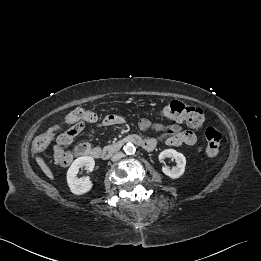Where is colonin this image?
I'll return each mask as SVG.
<instances>
[{
  "label": "colon",
  "instance_id": "1",
  "mask_svg": "<svg viewBox=\"0 0 261 261\" xmlns=\"http://www.w3.org/2000/svg\"><path fill=\"white\" fill-rule=\"evenodd\" d=\"M159 115L168 119L183 121L193 128H201L205 123L202 109L180 101L169 102L159 110ZM100 118L101 115L91 109H75L65 118L70 127L59 133L46 131L37 136L32 143V152L37 153L53 143L70 144L83 128L84 122H95ZM221 137V133L216 128L208 127L206 129V155L208 158L213 159L219 154Z\"/></svg>",
  "mask_w": 261,
  "mask_h": 261
}]
</instances>
